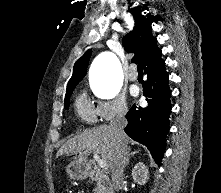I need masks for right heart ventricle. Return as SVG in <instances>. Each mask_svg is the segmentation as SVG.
Instances as JSON below:
<instances>
[{"label":"right heart ventricle","instance_id":"right-heart-ventricle-1","mask_svg":"<svg viewBox=\"0 0 221 193\" xmlns=\"http://www.w3.org/2000/svg\"><path fill=\"white\" fill-rule=\"evenodd\" d=\"M75 108L79 118L83 122L91 124L96 121L97 115L95 107L84 95H81L76 99Z\"/></svg>","mask_w":221,"mask_h":193}]
</instances>
